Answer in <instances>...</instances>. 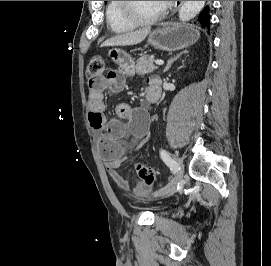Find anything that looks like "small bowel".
Instances as JSON below:
<instances>
[{"label": "small bowel", "mask_w": 271, "mask_h": 266, "mask_svg": "<svg viewBox=\"0 0 271 266\" xmlns=\"http://www.w3.org/2000/svg\"><path fill=\"white\" fill-rule=\"evenodd\" d=\"M154 83L150 80V84ZM125 77L121 70L111 68L106 74L89 80L88 120L93 129L100 133L99 147L106 169L118 187L126 192L133 191L144 196L150 191L149 185L141 182L131 188L118 168L125 160L123 153L126 145L122 142L129 134L137 139L148 136L149 123L145 116L135 117L132 107L118 103L115 111L119 119L107 120L104 116V91L119 92L124 88Z\"/></svg>", "instance_id": "c3829d8e"}]
</instances>
